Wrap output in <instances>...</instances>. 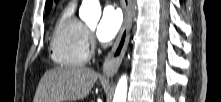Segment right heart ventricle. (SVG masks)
Instances as JSON below:
<instances>
[{
	"instance_id": "obj_1",
	"label": "right heart ventricle",
	"mask_w": 221,
	"mask_h": 102,
	"mask_svg": "<svg viewBox=\"0 0 221 102\" xmlns=\"http://www.w3.org/2000/svg\"><path fill=\"white\" fill-rule=\"evenodd\" d=\"M74 10L75 4L69 3L59 14L51 32V58L65 67L82 66L89 58L87 29Z\"/></svg>"
}]
</instances>
